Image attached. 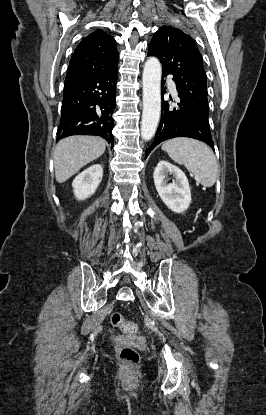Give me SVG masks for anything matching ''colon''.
I'll return each instance as SVG.
<instances>
[{
  "instance_id": "1",
  "label": "colon",
  "mask_w": 266,
  "mask_h": 415,
  "mask_svg": "<svg viewBox=\"0 0 266 415\" xmlns=\"http://www.w3.org/2000/svg\"><path fill=\"white\" fill-rule=\"evenodd\" d=\"M110 322L112 326L119 329L123 334L132 335L138 330V325L135 322L127 320L120 313H113L110 316ZM116 354L119 361L128 367H134L139 364L140 356L138 352L130 347L123 344L116 346Z\"/></svg>"
}]
</instances>
